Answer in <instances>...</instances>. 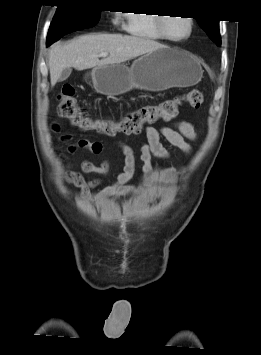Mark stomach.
<instances>
[{
  "label": "stomach",
  "mask_w": 261,
  "mask_h": 355,
  "mask_svg": "<svg viewBox=\"0 0 261 355\" xmlns=\"http://www.w3.org/2000/svg\"><path fill=\"white\" fill-rule=\"evenodd\" d=\"M202 74L195 57L183 50L163 46L142 55L131 67L121 63L98 66L90 75L98 93L115 96L133 88L158 92L192 86L200 81Z\"/></svg>",
  "instance_id": "0dacf381"
}]
</instances>
